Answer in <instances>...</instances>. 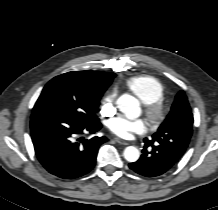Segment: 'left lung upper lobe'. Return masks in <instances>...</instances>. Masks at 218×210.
<instances>
[{
    "mask_svg": "<svg viewBox=\"0 0 218 210\" xmlns=\"http://www.w3.org/2000/svg\"><path fill=\"white\" fill-rule=\"evenodd\" d=\"M193 115L184 91H180L165 121L153 134L151 141L163 150L185 152L192 135Z\"/></svg>",
    "mask_w": 218,
    "mask_h": 210,
    "instance_id": "1",
    "label": "left lung upper lobe"
}]
</instances>
